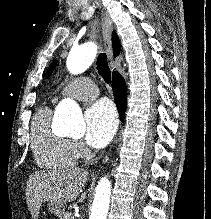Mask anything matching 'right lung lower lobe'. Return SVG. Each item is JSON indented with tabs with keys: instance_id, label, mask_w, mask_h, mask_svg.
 I'll return each mask as SVG.
<instances>
[{
	"instance_id": "right-lung-lower-lobe-1",
	"label": "right lung lower lobe",
	"mask_w": 211,
	"mask_h": 219,
	"mask_svg": "<svg viewBox=\"0 0 211 219\" xmlns=\"http://www.w3.org/2000/svg\"><path fill=\"white\" fill-rule=\"evenodd\" d=\"M112 89L120 119L123 120L127 106V89L123 77L118 72L113 73Z\"/></svg>"
}]
</instances>
